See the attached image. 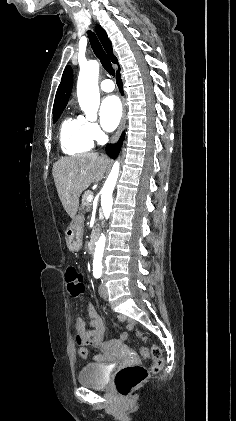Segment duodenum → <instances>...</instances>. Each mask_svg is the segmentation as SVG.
<instances>
[{"label": "duodenum", "instance_id": "1", "mask_svg": "<svg viewBox=\"0 0 236 421\" xmlns=\"http://www.w3.org/2000/svg\"><path fill=\"white\" fill-rule=\"evenodd\" d=\"M98 239V232L95 231L92 233L90 241H89V250L93 252L96 242ZM103 330L98 328L97 330L93 331H86L85 325L79 328L78 337L83 345L91 343L93 345L99 346L102 350V353L95 356L96 360L103 361V360H111L113 356L109 352L110 345L108 343L102 342L103 341ZM90 336H94V340H90ZM125 339V335L121 336V340Z\"/></svg>", "mask_w": 236, "mask_h": 421}]
</instances>
